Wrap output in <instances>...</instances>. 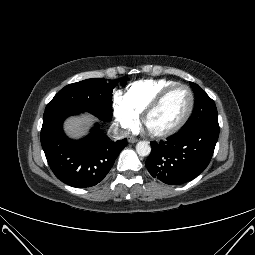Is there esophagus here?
Instances as JSON below:
<instances>
[{
    "label": "esophagus",
    "instance_id": "esophagus-1",
    "mask_svg": "<svg viewBox=\"0 0 255 255\" xmlns=\"http://www.w3.org/2000/svg\"><path fill=\"white\" fill-rule=\"evenodd\" d=\"M137 141H138V139L135 138V137H132V136L128 137V142L129 143H136Z\"/></svg>",
    "mask_w": 255,
    "mask_h": 255
}]
</instances>
